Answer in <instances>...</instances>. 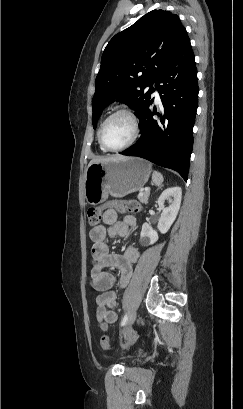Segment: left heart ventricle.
Returning a JSON list of instances; mask_svg holds the SVG:
<instances>
[{"mask_svg": "<svg viewBox=\"0 0 243 409\" xmlns=\"http://www.w3.org/2000/svg\"><path fill=\"white\" fill-rule=\"evenodd\" d=\"M132 135V122L125 115H118L110 119L103 128L104 141L112 148L123 146L130 140Z\"/></svg>", "mask_w": 243, "mask_h": 409, "instance_id": "obj_1", "label": "left heart ventricle"}]
</instances>
